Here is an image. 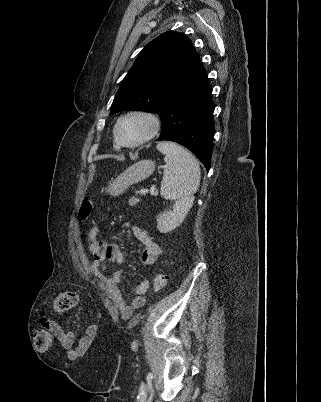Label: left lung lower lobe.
Returning a JSON list of instances; mask_svg holds the SVG:
<instances>
[{
  "mask_svg": "<svg viewBox=\"0 0 321 402\" xmlns=\"http://www.w3.org/2000/svg\"><path fill=\"white\" fill-rule=\"evenodd\" d=\"M212 88L199 64L166 97L161 108L162 133L157 141L177 142L192 151L210 169L213 151Z\"/></svg>",
  "mask_w": 321,
  "mask_h": 402,
  "instance_id": "1",
  "label": "left lung lower lobe"
}]
</instances>
